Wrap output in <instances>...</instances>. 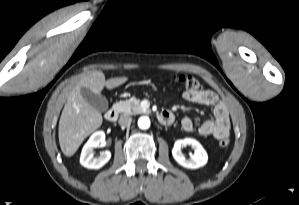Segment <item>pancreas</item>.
Returning a JSON list of instances; mask_svg holds the SVG:
<instances>
[{
  "label": "pancreas",
  "instance_id": "pancreas-1",
  "mask_svg": "<svg viewBox=\"0 0 299 205\" xmlns=\"http://www.w3.org/2000/svg\"><path fill=\"white\" fill-rule=\"evenodd\" d=\"M114 107L125 115H136L146 112L140 106V100L135 97L129 100L117 102Z\"/></svg>",
  "mask_w": 299,
  "mask_h": 205
}]
</instances>
